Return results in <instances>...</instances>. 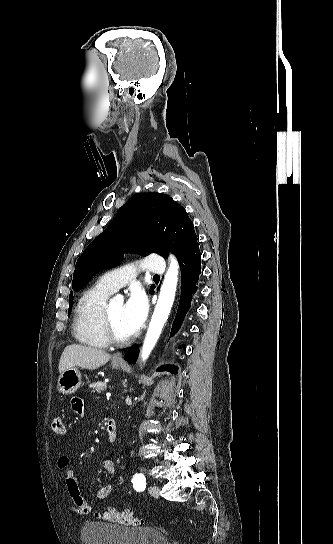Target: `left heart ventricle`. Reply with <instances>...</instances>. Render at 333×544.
I'll list each match as a JSON object with an SVG mask.
<instances>
[{
    "label": "left heart ventricle",
    "instance_id": "b2bd125f",
    "mask_svg": "<svg viewBox=\"0 0 333 544\" xmlns=\"http://www.w3.org/2000/svg\"><path fill=\"white\" fill-rule=\"evenodd\" d=\"M124 304L122 302H114L109 305L110 316L116 332L120 336H130L132 333L128 330L123 318Z\"/></svg>",
    "mask_w": 333,
    "mask_h": 544
}]
</instances>
